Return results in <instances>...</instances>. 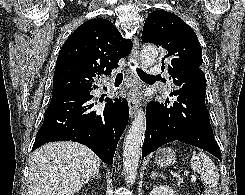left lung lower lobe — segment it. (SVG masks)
I'll return each mask as SVG.
<instances>
[{"instance_id":"left-lung-lower-lobe-1","label":"left lung lower lobe","mask_w":245,"mask_h":195,"mask_svg":"<svg viewBox=\"0 0 245 195\" xmlns=\"http://www.w3.org/2000/svg\"><path fill=\"white\" fill-rule=\"evenodd\" d=\"M167 97L165 103L150 102L146 110L145 157L160 146L180 141L206 150L221 160L209 120L205 99L193 94Z\"/></svg>"}]
</instances>
